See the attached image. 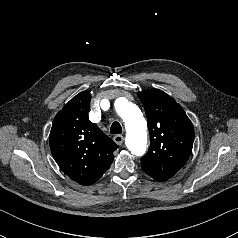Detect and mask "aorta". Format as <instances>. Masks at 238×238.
Wrapping results in <instances>:
<instances>
[{
	"instance_id": "aorta-1",
	"label": "aorta",
	"mask_w": 238,
	"mask_h": 238,
	"mask_svg": "<svg viewBox=\"0 0 238 238\" xmlns=\"http://www.w3.org/2000/svg\"><path fill=\"white\" fill-rule=\"evenodd\" d=\"M115 109L126 127V145L132 154L143 155L147 144V123L140 109L125 98H118Z\"/></svg>"
}]
</instances>
